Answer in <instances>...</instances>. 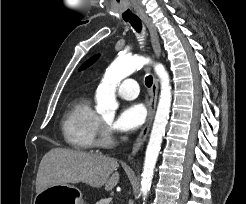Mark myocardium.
<instances>
[{
    "label": "myocardium",
    "instance_id": "obj_1",
    "mask_svg": "<svg viewBox=\"0 0 246 204\" xmlns=\"http://www.w3.org/2000/svg\"><path fill=\"white\" fill-rule=\"evenodd\" d=\"M114 143L109 123L100 118V128L98 132V145L110 146Z\"/></svg>",
    "mask_w": 246,
    "mask_h": 204
}]
</instances>
